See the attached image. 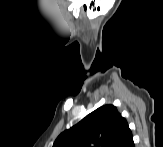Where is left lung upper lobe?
Returning a JSON list of instances; mask_svg holds the SVG:
<instances>
[{"instance_id":"1","label":"left lung upper lobe","mask_w":163,"mask_h":147,"mask_svg":"<svg viewBox=\"0 0 163 147\" xmlns=\"http://www.w3.org/2000/svg\"><path fill=\"white\" fill-rule=\"evenodd\" d=\"M127 126L115 106L104 105L61 133L53 147H114Z\"/></svg>"}]
</instances>
